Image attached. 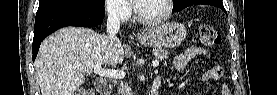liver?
Listing matches in <instances>:
<instances>
[{"instance_id":"obj_1","label":"liver","mask_w":277,"mask_h":95,"mask_svg":"<svg viewBox=\"0 0 277 95\" xmlns=\"http://www.w3.org/2000/svg\"><path fill=\"white\" fill-rule=\"evenodd\" d=\"M124 60L117 40L88 28L65 27L43 40L35 60V78L42 95H74L84 74L97 64L116 67Z\"/></svg>"}]
</instances>
